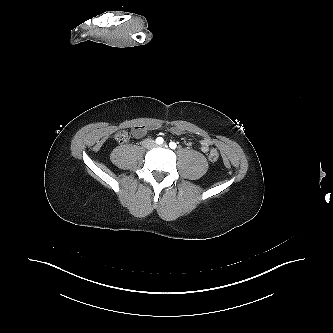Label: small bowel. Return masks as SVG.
<instances>
[{
	"mask_svg": "<svg viewBox=\"0 0 333 333\" xmlns=\"http://www.w3.org/2000/svg\"><path fill=\"white\" fill-rule=\"evenodd\" d=\"M172 131L176 134H181L183 129L180 127L172 128ZM147 133V128L145 126H135L132 128V134L135 138H141L145 136ZM212 145V141L210 138H202L200 140V149L203 153H207Z\"/></svg>",
	"mask_w": 333,
	"mask_h": 333,
	"instance_id": "small-bowel-1",
	"label": "small bowel"
}]
</instances>
